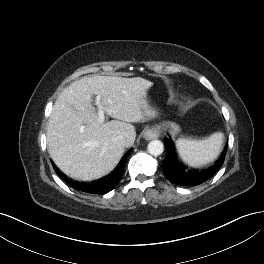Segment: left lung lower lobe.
Returning a JSON list of instances; mask_svg holds the SVG:
<instances>
[{
  "mask_svg": "<svg viewBox=\"0 0 264 264\" xmlns=\"http://www.w3.org/2000/svg\"><path fill=\"white\" fill-rule=\"evenodd\" d=\"M164 143L167 151V156L164 162L162 163L163 172L173 184L182 186L199 185L208 180L222 166L227 151L226 147L225 150L222 152L220 158L216 161L213 166L199 172L188 170L182 164L179 163L175 156L173 143L169 139L166 138L164 140Z\"/></svg>",
  "mask_w": 264,
  "mask_h": 264,
  "instance_id": "0a47b994",
  "label": "left lung lower lobe"
}]
</instances>
